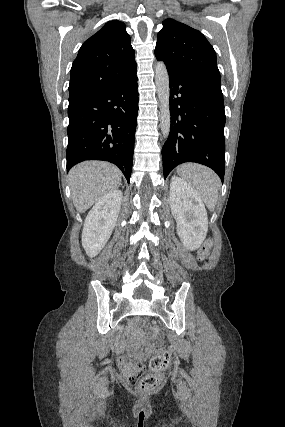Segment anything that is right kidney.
<instances>
[{
  "instance_id": "1",
  "label": "right kidney",
  "mask_w": 285,
  "mask_h": 427,
  "mask_svg": "<svg viewBox=\"0 0 285 427\" xmlns=\"http://www.w3.org/2000/svg\"><path fill=\"white\" fill-rule=\"evenodd\" d=\"M123 193L115 190L102 197L88 213L82 230V245L88 256H96L115 227Z\"/></svg>"
}]
</instances>
